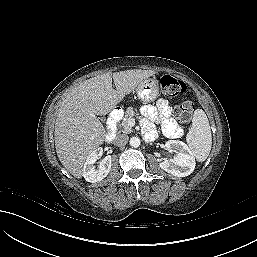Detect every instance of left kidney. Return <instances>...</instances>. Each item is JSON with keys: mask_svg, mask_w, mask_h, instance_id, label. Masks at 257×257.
Listing matches in <instances>:
<instances>
[{"mask_svg": "<svg viewBox=\"0 0 257 257\" xmlns=\"http://www.w3.org/2000/svg\"><path fill=\"white\" fill-rule=\"evenodd\" d=\"M165 148L176 154L173 159L161 162L159 164L161 169L177 177L188 176L194 171L196 165L194 156L184 142L169 140L165 143Z\"/></svg>", "mask_w": 257, "mask_h": 257, "instance_id": "obj_1", "label": "left kidney"}]
</instances>
